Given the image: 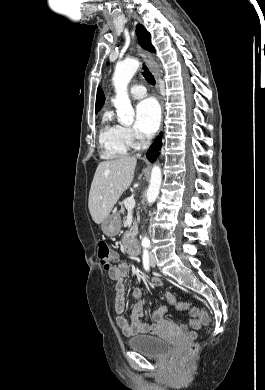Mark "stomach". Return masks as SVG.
<instances>
[{"label": "stomach", "instance_id": "0dacf381", "mask_svg": "<svg viewBox=\"0 0 265 390\" xmlns=\"http://www.w3.org/2000/svg\"><path fill=\"white\" fill-rule=\"evenodd\" d=\"M101 229L106 236L112 237L119 233L121 220L116 212L109 214L101 223Z\"/></svg>", "mask_w": 265, "mask_h": 390}]
</instances>
